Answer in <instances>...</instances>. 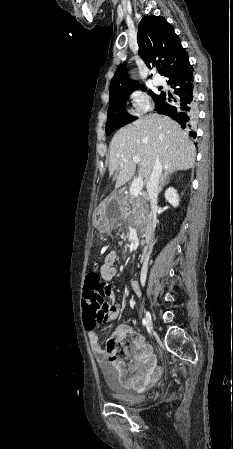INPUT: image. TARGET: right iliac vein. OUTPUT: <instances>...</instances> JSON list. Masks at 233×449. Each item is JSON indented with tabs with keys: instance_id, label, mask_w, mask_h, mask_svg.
Returning a JSON list of instances; mask_svg holds the SVG:
<instances>
[{
	"instance_id": "63e3f726",
	"label": "right iliac vein",
	"mask_w": 233,
	"mask_h": 449,
	"mask_svg": "<svg viewBox=\"0 0 233 449\" xmlns=\"http://www.w3.org/2000/svg\"><path fill=\"white\" fill-rule=\"evenodd\" d=\"M145 317H146V322L148 324L149 329H152V317H151L150 313L146 312Z\"/></svg>"
}]
</instances>
